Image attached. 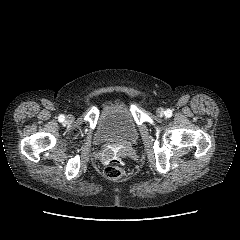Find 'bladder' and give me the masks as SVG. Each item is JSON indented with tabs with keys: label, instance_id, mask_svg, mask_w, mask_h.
<instances>
[{
	"label": "bladder",
	"instance_id": "bladder-1",
	"mask_svg": "<svg viewBox=\"0 0 240 240\" xmlns=\"http://www.w3.org/2000/svg\"><path fill=\"white\" fill-rule=\"evenodd\" d=\"M138 138V126L128 108L115 105L101 114L94 136L97 144H133Z\"/></svg>",
	"mask_w": 240,
	"mask_h": 240
}]
</instances>
